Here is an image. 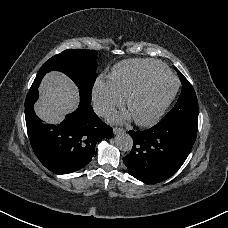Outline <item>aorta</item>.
<instances>
[{"label": "aorta", "mask_w": 228, "mask_h": 228, "mask_svg": "<svg viewBox=\"0 0 228 228\" xmlns=\"http://www.w3.org/2000/svg\"><path fill=\"white\" fill-rule=\"evenodd\" d=\"M116 146L123 152H128L132 149L133 139L127 133H120L115 137Z\"/></svg>", "instance_id": "762f6f07"}]
</instances>
